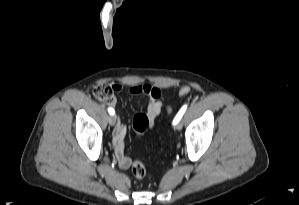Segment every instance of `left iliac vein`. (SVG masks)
I'll use <instances>...</instances> for the list:
<instances>
[{
    "label": "left iliac vein",
    "instance_id": "left-iliac-vein-1",
    "mask_svg": "<svg viewBox=\"0 0 299 205\" xmlns=\"http://www.w3.org/2000/svg\"><path fill=\"white\" fill-rule=\"evenodd\" d=\"M181 128H182V124L178 122V123L176 124V129H177V130H181Z\"/></svg>",
    "mask_w": 299,
    "mask_h": 205
}]
</instances>
